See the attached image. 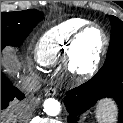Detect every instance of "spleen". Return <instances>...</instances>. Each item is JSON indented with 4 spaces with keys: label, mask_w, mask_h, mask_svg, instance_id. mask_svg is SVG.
<instances>
[{
    "label": "spleen",
    "mask_w": 123,
    "mask_h": 123,
    "mask_svg": "<svg viewBox=\"0 0 123 123\" xmlns=\"http://www.w3.org/2000/svg\"><path fill=\"white\" fill-rule=\"evenodd\" d=\"M116 112L113 102L111 100H104L96 110V118L99 123H113L116 120Z\"/></svg>",
    "instance_id": "3e777b00"
}]
</instances>
